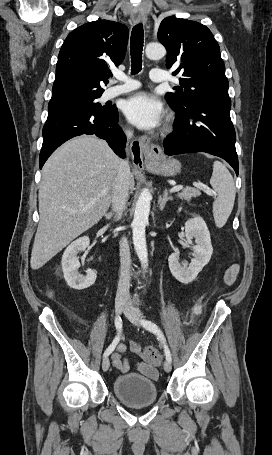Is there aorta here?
<instances>
[{"mask_svg":"<svg viewBox=\"0 0 272 455\" xmlns=\"http://www.w3.org/2000/svg\"><path fill=\"white\" fill-rule=\"evenodd\" d=\"M146 56L152 60H158L165 56L166 49L159 43H149L145 49ZM151 194L143 190L136 202L134 218L132 222L133 243L142 267L148 266V252L145 238V227L150 213Z\"/></svg>","mask_w":272,"mask_h":455,"instance_id":"obj_1","label":"aorta"}]
</instances>
